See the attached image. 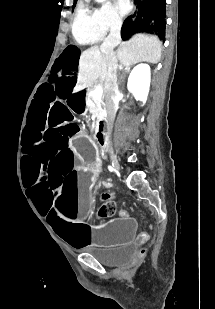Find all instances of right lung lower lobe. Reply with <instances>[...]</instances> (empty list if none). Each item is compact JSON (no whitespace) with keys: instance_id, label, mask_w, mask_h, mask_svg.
Masks as SVG:
<instances>
[{"instance_id":"1","label":"right lung lower lobe","mask_w":215,"mask_h":309,"mask_svg":"<svg viewBox=\"0 0 215 309\" xmlns=\"http://www.w3.org/2000/svg\"><path fill=\"white\" fill-rule=\"evenodd\" d=\"M137 11L129 16L121 29L123 40L137 32H147L165 37L166 0H134Z\"/></svg>"}]
</instances>
